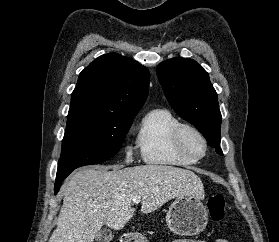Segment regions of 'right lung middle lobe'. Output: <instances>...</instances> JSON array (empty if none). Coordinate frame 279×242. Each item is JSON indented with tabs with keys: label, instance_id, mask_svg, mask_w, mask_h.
<instances>
[{
	"label": "right lung middle lobe",
	"instance_id": "dd1d6c3e",
	"mask_svg": "<svg viewBox=\"0 0 279 242\" xmlns=\"http://www.w3.org/2000/svg\"><path fill=\"white\" fill-rule=\"evenodd\" d=\"M133 117L94 119L68 115L56 181L74 169L105 162L120 149Z\"/></svg>",
	"mask_w": 279,
	"mask_h": 242
}]
</instances>
